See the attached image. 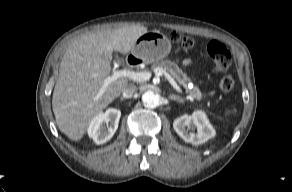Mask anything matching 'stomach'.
Masks as SVG:
<instances>
[{
	"label": "stomach",
	"mask_w": 292,
	"mask_h": 192,
	"mask_svg": "<svg viewBox=\"0 0 292 192\" xmlns=\"http://www.w3.org/2000/svg\"><path fill=\"white\" fill-rule=\"evenodd\" d=\"M170 50V40L159 31H151L139 37L131 51L134 56L146 63H152L168 56Z\"/></svg>",
	"instance_id": "stomach-1"
}]
</instances>
